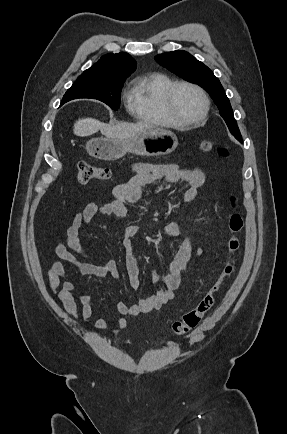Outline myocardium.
Instances as JSON below:
<instances>
[{
  "label": "myocardium",
  "mask_w": 287,
  "mask_h": 434,
  "mask_svg": "<svg viewBox=\"0 0 287 434\" xmlns=\"http://www.w3.org/2000/svg\"><path fill=\"white\" fill-rule=\"evenodd\" d=\"M183 86L194 89L200 95V97L202 99L203 111H202L201 115L197 118L186 120V119H183L180 116H178L177 113L175 112L174 96H175L177 89L180 87H183ZM164 104H165L166 111H167L168 115L170 116V118L177 125H182V126L194 125V124H199V123L203 122L206 119L208 112H209V109H210V101H209L208 95L205 92V90L201 86H199L198 84H195V83L190 82V81L173 82L166 90L165 97H164Z\"/></svg>",
  "instance_id": "obj_1"
}]
</instances>
